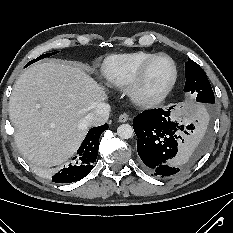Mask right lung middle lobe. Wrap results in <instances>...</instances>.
I'll return each instance as SVG.
<instances>
[{
    "label": "right lung middle lobe",
    "mask_w": 233,
    "mask_h": 233,
    "mask_svg": "<svg viewBox=\"0 0 233 233\" xmlns=\"http://www.w3.org/2000/svg\"><path fill=\"white\" fill-rule=\"evenodd\" d=\"M55 53H57V52L48 53V54H43V55H41L40 57H38L37 59H34V60L30 61L26 66H28V65H30V64H32V63H34V62H36V61H38V60H40V59H43V58L52 56V55H54Z\"/></svg>",
    "instance_id": "1"
}]
</instances>
